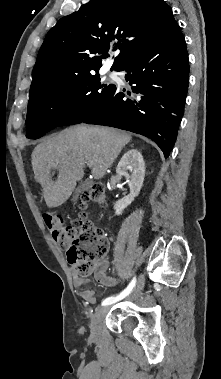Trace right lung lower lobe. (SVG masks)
I'll return each instance as SVG.
<instances>
[{
    "label": "right lung lower lobe",
    "mask_w": 221,
    "mask_h": 379,
    "mask_svg": "<svg viewBox=\"0 0 221 379\" xmlns=\"http://www.w3.org/2000/svg\"><path fill=\"white\" fill-rule=\"evenodd\" d=\"M116 70L126 72L130 90L122 92L114 85L99 105L70 125L84 122L144 135L167 158L183 116L189 80L188 54L180 27L126 58Z\"/></svg>",
    "instance_id": "1"
}]
</instances>
